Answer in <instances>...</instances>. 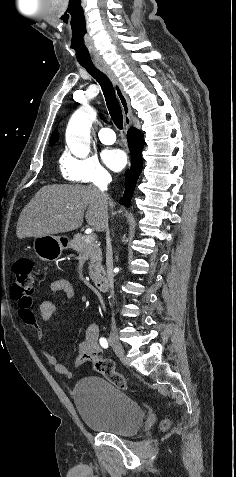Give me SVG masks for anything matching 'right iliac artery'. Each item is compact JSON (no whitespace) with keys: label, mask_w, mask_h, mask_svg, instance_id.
<instances>
[{"label":"right iliac artery","mask_w":236,"mask_h":477,"mask_svg":"<svg viewBox=\"0 0 236 477\" xmlns=\"http://www.w3.org/2000/svg\"><path fill=\"white\" fill-rule=\"evenodd\" d=\"M99 341L103 348H108V341L104 337H101Z\"/></svg>","instance_id":"82829eb1"}]
</instances>
